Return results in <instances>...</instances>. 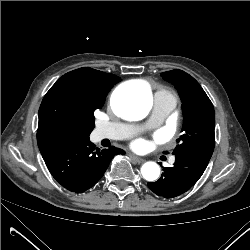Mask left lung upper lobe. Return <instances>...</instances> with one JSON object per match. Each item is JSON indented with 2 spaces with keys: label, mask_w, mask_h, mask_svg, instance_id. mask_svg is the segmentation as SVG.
I'll list each match as a JSON object with an SVG mask.
<instances>
[{
  "label": "left lung upper lobe",
  "mask_w": 250,
  "mask_h": 250,
  "mask_svg": "<svg viewBox=\"0 0 250 250\" xmlns=\"http://www.w3.org/2000/svg\"><path fill=\"white\" fill-rule=\"evenodd\" d=\"M161 76L175 86L182 100L184 134L178 139L173 154L190 148L214 146V107L199 83L178 69L163 72Z\"/></svg>",
  "instance_id": "5c2ea615"
}]
</instances>
